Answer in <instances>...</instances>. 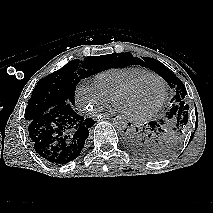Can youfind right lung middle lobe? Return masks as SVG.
<instances>
[{
  "mask_svg": "<svg viewBox=\"0 0 213 213\" xmlns=\"http://www.w3.org/2000/svg\"><path fill=\"white\" fill-rule=\"evenodd\" d=\"M113 55L86 57L83 61L75 59L61 69L41 79L35 86L25 110V120L45 114L60 103L74 105L75 88L81 79L110 68Z\"/></svg>",
  "mask_w": 213,
  "mask_h": 213,
  "instance_id": "1",
  "label": "right lung middle lobe"
}]
</instances>
